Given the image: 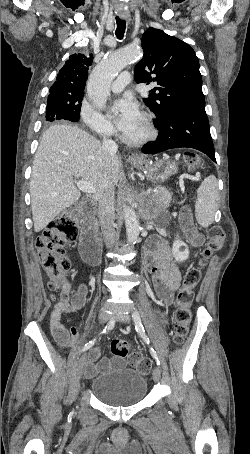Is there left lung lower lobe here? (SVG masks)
<instances>
[{
	"mask_svg": "<svg viewBox=\"0 0 250 454\" xmlns=\"http://www.w3.org/2000/svg\"><path fill=\"white\" fill-rule=\"evenodd\" d=\"M159 135L154 142L142 147L145 154L188 147L197 149L216 162L205 108H189L170 114L161 123L154 124Z\"/></svg>",
	"mask_w": 250,
	"mask_h": 454,
	"instance_id": "1",
	"label": "left lung lower lobe"
}]
</instances>
